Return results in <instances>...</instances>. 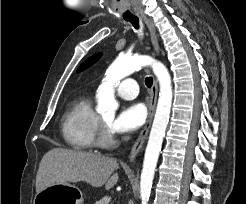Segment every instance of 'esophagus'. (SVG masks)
Wrapping results in <instances>:
<instances>
[{
	"label": "esophagus",
	"mask_w": 246,
	"mask_h": 204,
	"mask_svg": "<svg viewBox=\"0 0 246 204\" xmlns=\"http://www.w3.org/2000/svg\"><path fill=\"white\" fill-rule=\"evenodd\" d=\"M143 19H144V21H145V23H146V25L150 31V36H151L152 45L154 47V51L156 52V54H159L160 47H159L158 35L156 32L155 26L151 22V20L148 19L146 16H143ZM157 94H158V84H157V80L154 78L152 89H151L150 101H149L148 118H147L146 124L144 125V127L141 130L136 142L134 143V145L131 149V152L129 155L130 162L134 161V159L138 155L139 151L141 150V148L143 147V145L147 139V135L149 133L151 123L153 120V116L155 113Z\"/></svg>",
	"instance_id": "esophagus-1"
}]
</instances>
